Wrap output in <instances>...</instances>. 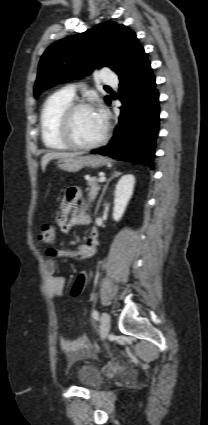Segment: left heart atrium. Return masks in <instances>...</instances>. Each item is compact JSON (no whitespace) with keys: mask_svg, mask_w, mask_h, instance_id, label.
I'll return each instance as SVG.
<instances>
[{"mask_svg":"<svg viewBox=\"0 0 208 425\" xmlns=\"http://www.w3.org/2000/svg\"><path fill=\"white\" fill-rule=\"evenodd\" d=\"M99 114L101 115V117H102L103 121L105 122V117H104V115H103L102 113H99Z\"/></svg>","mask_w":208,"mask_h":425,"instance_id":"1","label":"left heart atrium"}]
</instances>
